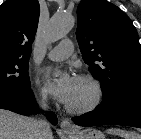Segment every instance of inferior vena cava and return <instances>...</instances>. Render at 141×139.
I'll return each mask as SVG.
<instances>
[{"label":"inferior vena cava","instance_id":"602c4592","mask_svg":"<svg viewBox=\"0 0 141 139\" xmlns=\"http://www.w3.org/2000/svg\"><path fill=\"white\" fill-rule=\"evenodd\" d=\"M41 107L44 110L47 109V105L44 97H42ZM50 135H51V129L47 119L45 117H41L40 119L36 120L33 139H49Z\"/></svg>","mask_w":141,"mask_h":139}]
</instances>
